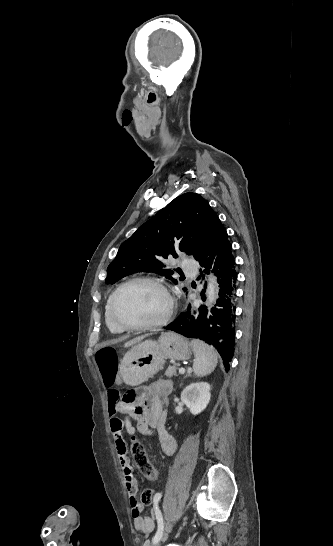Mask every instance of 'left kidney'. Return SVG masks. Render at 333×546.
Returning <instances> with one entry per match:
<instances>
[{
  "label": "left kidney",
  "mask_w": 333,
  "mask_h": 546,
  "mask_svg": "<svg viewBox=\"0 0 333 546\" xmlns=\"http://www.w3.org/2000/svg\"><path fill=\"white\" fill-rule=\"evenodd\" d=\"M210 385L206 382L190 384L181 393V401L194 415L201 413L210 401Z\"/></svg>",
  "instance_id": "1"
}]
</instances>
